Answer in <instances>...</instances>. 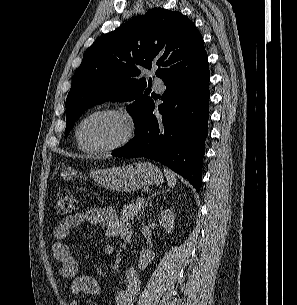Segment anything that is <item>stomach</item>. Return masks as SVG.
I'll list each match as a JSON object with an SVG mask.
<instances>
[{"mask_svg": "<svg viewBox=\"0 0 297 305\" xmlns=\"http://www.w3.org/2000/svg\"><path fill=\"white\" fill-rule=\"evenodd\" d=\"M82 176L81 173H79ZM60 176L70 181L78 176V171L62 166ZM90 178L99 185L118 192H134L142 187L159 184L163 180L161 170L149 162H138L130 165L91 170Z\"/></svg>", "mask_w": 297, "mask_h": 305, "instance_id": "stomach-1", "label": "stomach"}]
</instances>
